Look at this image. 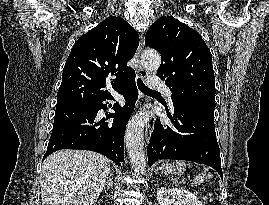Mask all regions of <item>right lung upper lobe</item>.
I'll use <instances>...</instances> for the list:
<instances>
[{"mask_svg":"<svg viewBox=\"0 0 269 205\" xmlns=\"http://www.w3.org/2000/svg\"><path fill=\"white\" fill-rule=\"evenodd\" d=\"M139 45V35L125 20L111 16L81 36L65 63L56 107L87 104L111 94L106 90L107 78L119 89L135 77L127 62Z\"/></svg>","mask_w":269,"mask_h":205,"instance_id":"1","label":"right lung upper lobe"}]
</instances>
